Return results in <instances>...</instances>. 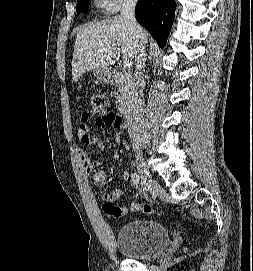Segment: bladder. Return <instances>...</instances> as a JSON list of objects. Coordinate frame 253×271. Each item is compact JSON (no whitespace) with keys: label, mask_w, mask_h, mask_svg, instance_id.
Here are the masks:
<instances>
[{"label":"bladder","mask_w":253,"mask_h":271,"mask_svg":"<svg viewBox=\"0 0 253 271\" xmlns=\"http://www.w3.org/2000/svg\"><path fill=\"white\" fill-rule=\"evenodd\" d=\"M170 242L165 225L151 220H134L124 224L115 239L119 252L129 259H150L162 253Z\"/></svg>","instance_id":"bladder-1"}]
</instances>
